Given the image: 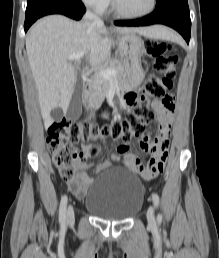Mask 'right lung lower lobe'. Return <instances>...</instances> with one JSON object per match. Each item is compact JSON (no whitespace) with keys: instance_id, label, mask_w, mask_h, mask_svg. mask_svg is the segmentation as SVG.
Wrapping results in <instances>:
<instances>
[{"instance_id":"right-lung-lower-lobe-1","label":"right lung lower lobe","mask_w":219,"mask_h":258,"mask_svg":"<svg viewBox=\"0 0 219 258\" xmlns=\"http://www.w3.org/2000/svg\"><path fill=\"white\" fill-rule=\"evenodd\" d=\"M84 12L85 7L80 0H45L26 11L24 30L26 32L38 18L45 15L62 14L79 20Z\"/></svg>"}]
</instances>
